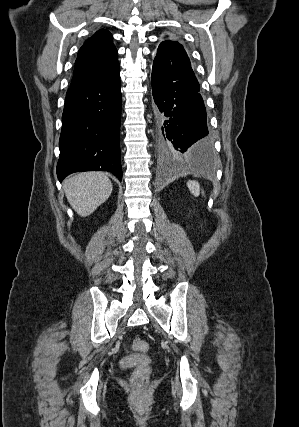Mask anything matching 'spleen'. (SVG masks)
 <instances>
[{
	"instance_id": "spleen-1",
	"label": "spleen",
	"mask_w": 299,
	"mask_h": 427,
	"mask_svg": "<svg viewBox=\"0 0 299 427\" xmlns=\"http://www.w3.org/2000/svg\"><path fill=\"white\" fill-rule=\"evenodd\" d=\"M187 186L190 190V192L194 195V196H199L200 195V185L197 181L194 180H190L187 182ZM202 194H204V192L202 191Z\"/></svg>"
}]
</instances>
